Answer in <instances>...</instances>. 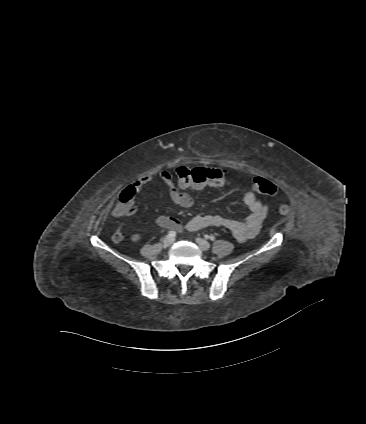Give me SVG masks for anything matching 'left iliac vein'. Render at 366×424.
<instances>
[{
  "label": "left iliac vein",
  "instance_id": "left-iliac-vein-1",
  "mask_svg": "<svg viewBox=\"0 0 366 424\" xmlns=\"http://www.w3.org/2000/svg\"><path fill=\"white\" fill-rule=\"evenodd\" d=\"M196 243L199 245V247L204 250L207 251L210 249L211 245L208 241L201 239V238H197L196 239Z\"/></svg>",
  "mask_w": 366,
  "mask_h": 424
}]
</instances>
